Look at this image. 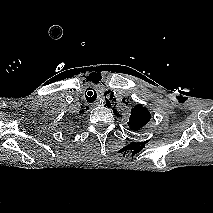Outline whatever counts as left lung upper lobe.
<instances>
[{
  "instance_id": "1",
  "label": "left lung upper lobe",
  "mask_w": 213,
  "mask_h": 213,
  "mask_svg": "<svg viewBox=\"0 0 213 213\" xmlns=\"http://www.w3.org/2000/svg\"><path fill=\"white\" fill-rule=\"evenodd\" d=\"M114 112L116 115H119L117 113V110ZM151 119V115L149 111L143 107L142 105H137L132 109L128 125L132 130H139L143 126H145L149 120Z\"/></svg>"
}]
</instances>
